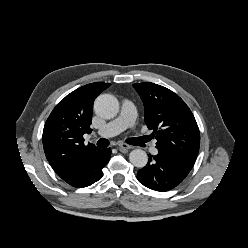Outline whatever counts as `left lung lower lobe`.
Instances as JSON below:
<instances>
[{
  "instance_id": "obj_1",
  "label": "left lung lower lobe",
  "mask_w": 248,
  "mask_h": 248,
  "mask_svg": "<svg viewBox=\"0 0 248 248\" xmlns=\"http://www.w3.org/2000/svg\"><path fill=\"white\" fill-rule=\"evenodd\" d=\"M193 160L158 151L137 173L138 181L149 189L165 192L180 184L191 171Z\"/></svg>"
}]
</instances>
